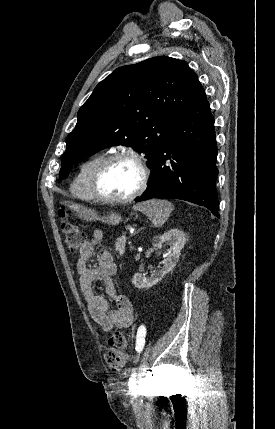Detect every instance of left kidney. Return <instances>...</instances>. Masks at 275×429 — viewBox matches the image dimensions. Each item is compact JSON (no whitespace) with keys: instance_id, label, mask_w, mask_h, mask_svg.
<instances>
[{"instance_id":"left-kidney-1","label":"left kidney","mask_w":275,"mask_h":429,"mask_svg":"<svg viewBox=\"0 0 275 429\" xmlns=\"http://www.w3.org/2000/svg\"><path fill=\"white\" fill-rule=\"evenodd\" d=\"M185 242L186 237L183 231L175 228L162 235L155 236L152 239V245L154 247H161L163 244L171 245L168 256L160 262V264H162L161 269L154 271L150 277L146 278L139 273L134 274L132 284L138 289L149 288L157 284L167 273L174 269Z\"/></svg>"}]
</instances>
